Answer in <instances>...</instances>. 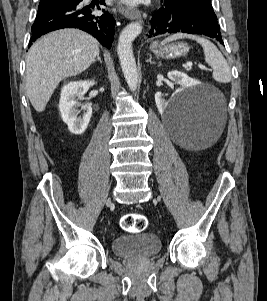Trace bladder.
<instances>
[{
	"label": "bladder",
	"mask_w": 267,
	"mask_h": 301,
	"mask_svg": "<svg viewBox=\"0 0 267 301\" xmlns=\"http://www.w3.org/2000/svg\"><path fill=\"white\" fill-rule=\"evenodd\" d=\"M111 248L117 256L141 259L158 255L162 250V242L158 235L144 232L117 236L112 240Z\"/></svg>",
	"instance_id": "31cf9c89"
}]
</instances>
